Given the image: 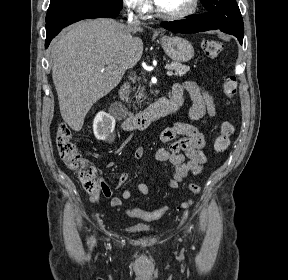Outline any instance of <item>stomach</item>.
I'll list each match as a JSON object with an SVG mask.
<instances>
[{
	"mask_svg": "<svg viewBox=\"0 0 288 280\" xmlns=\"http://www.w3.org/2000/svg\"><path fill=\"white\" fill-rule=\"evenodd\" d=\"M161 45L165 53L175 62H187L194 56L192 44L182 37L163 36L161 38Z\"/></svg>",
	"mask_w": 288,
	"mask_h": 280,
	"instance_id": "obj_1",
	"label": "stomach"
}]
</instances>
